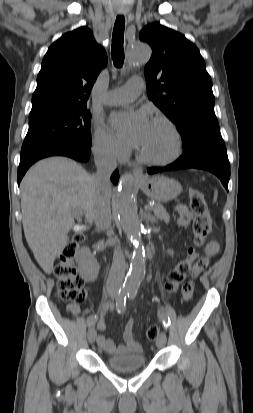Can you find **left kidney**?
Returning <instances> with one entry per match:
<instances>
[{"mask_svg":"<svg viewBox=\"0 0 253 413\" xmlns=\"http://www.w3.org/2000/svg\"><path fill=\"white\" fill-rule=\"evenodd\" d=\"M167 253L170 254L171 256H173V254H174V252L172 250H168Z\"/></svg>","mask_w":253,"mask_h":413,"instance_id":"obj_1","label":"left kidney"}]
</instances>
